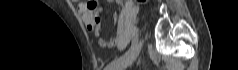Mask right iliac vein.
<instances>
[{"label": "right iliac vein", "mask_w": 238, "mask_h": 70, "mask_svg": "<svg viewBox=\"0 0 238 70\" xmlns=\"http://www.w3.org/2000/svg\"><path fill=\"white\" fill-rule=\"evenodd\" d=\"M142 43L140 42L139 45L136 47L134 52L128 56L126 59L119 62L112 70H123L126 69L129 65L133 63V61L137 58L140 50H141Z\"/></svg>", "instance_id": "1"}]
</instances>
